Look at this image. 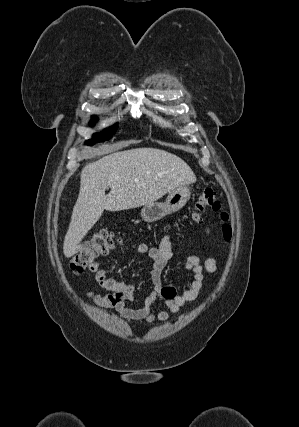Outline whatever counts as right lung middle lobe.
Returning a JSON list of instances; mask_svg holds the SVG:
<instances>
[{"instance_id":"dd1d6c3e","label":"right lung middle lobe","mask_w":299,"mask_h":427,"mask_svg":"<svg viewBox=\"0 0 299 427\" xmlns=\"http://www.w3.org/2000/svg\"><path fill=\"white\" fill-rule=\"evenodd\" d=\"M97 117L93 116V121H96ZM117 126L105 129L102 133H96L93 135V139L88 140V145H93L95 142H102L108 140L116 131Z\"/></svg>"}]
</instances>
